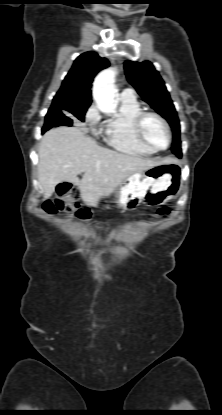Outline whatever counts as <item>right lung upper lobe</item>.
Here are the masks:
<instances>
[{"mask_svg": "<svg viewBox=\"0 0 222 415\" xmlns=\"http://www.w3.org/2000/svg\"><path fill=\"white\" fill-rule=\"evenodd\" d=\"M109 61L95 52L81 54L62 82L51 107L91 104V86L96 74L107 68Z\"/></svg>", "mask_w": 222, "mask_h": 415, "instance_id": "1", "label": "right lung upper lobe"}]
</instances>
